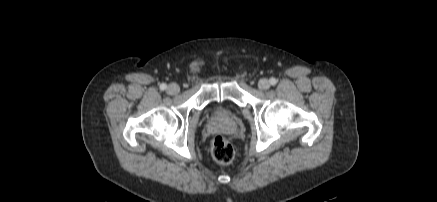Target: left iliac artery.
<instances>
[{
  "mask_svg": "<svg viewBox=\"0 0 437 202\" xmlns=\"http://www.w3.org/2000/svg\"><path fill=\"white\" fill-rule=\"evenodd\" d=\"M270 83L272 85H275L277 83V80L275 78H270Z\"/></svg>",
  "mask_w": 437,
  "mask_h": 202,
  "instance_id": "1",
  "label": "left iliac artery"
}]
</instances>
